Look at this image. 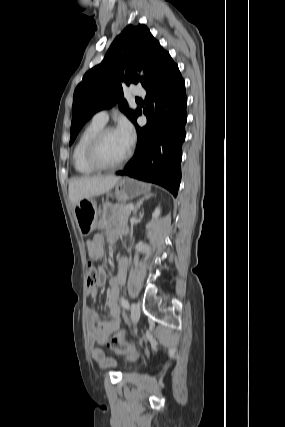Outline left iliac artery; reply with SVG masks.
Instances as JSON below:
<instances>
[{
    "label": "left iliac artery",
    "instance_id": "left-iliac-artery-1",
    "mask_svg": "<svg viewBox=\"0 0 285 427\" xmlns=\"http://www.w3.org/2000/svg\"><path fill=\"white\" fill-rule=\"evenodd\" d=\"M120 303H121V305H122L123 308H125L127 310L129 309V302H128L127 299H125L124 297H122L120 299Z\"/></svg>",
    "mask_w": 285,
    "mask_h": 427
}]
</instances>
